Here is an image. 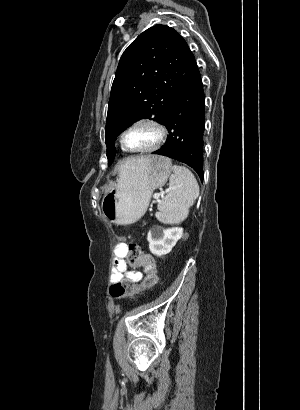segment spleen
Returning a JSON list of instances; mask_svg holds the SVG:
<instances>
[{"label":"spleen","instance_id":"1","mask_svg":"<svg viewBox=\"0 0 300 410\" xmlns=\"http://www.w3.org/2000/svg\"><path fill=\"white\" fill-rule=\"evenodd\" d=\"M122 168V166H121ZM169 192L159 202L157 220L165 224H179L188 216L199 196V186L190 170L180 165L172 166Z\"/></svg>","mask_w":300,"mask_h":410}]
</instances>
